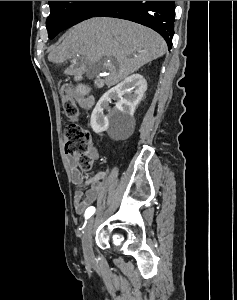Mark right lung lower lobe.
<instances>
[{
  "mask_svg": "<svg viewBox=\"0 0 237 300\" xmlns=\"http://www.w3.org/2000/svg\"><path fill=\"white\" fill-rule=\"evenodd\" d=\"M94 16L134 21L157 31L171 49L174 35L175 1H105Z\"/></svg>",
  "mask_w": 237,
  "mask_h": 300,
  "instance_id": "right-lung-lower-lobe-1",
  "label": "right lung lower lobe"
}]
</instances>
